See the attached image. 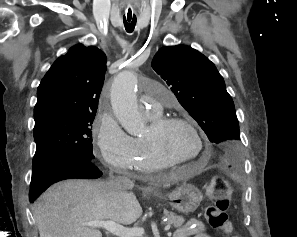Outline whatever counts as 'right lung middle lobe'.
I'll use <instances>...</instances> for the list:
<instances>
[{
	"mask_svg": "<svg viewBox=\"0 0 297 237\" xmlns=\"http://www.w3.org/2000/svg\"><path fill=\"white\" fill-rule=\"evenodd\" d=\"M95 114L84 116L53 115L35 123L36 152L33 171L60 155H78L93 159L91 124Z\"/></svg>",
	"mask_w": 297,
	"mask_h": 237,
	"instance_id": "obj_1",
	"label": "right lung middle lobe"
}]
</instances>
